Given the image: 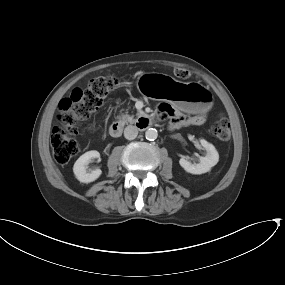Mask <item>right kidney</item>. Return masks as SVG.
Masks as SVG:
<instances>
[{
    "instance_id": "obj_1",
    "label": "right kidney",
    "mask_w": 285,
    "mask_h": 285,
    "mask_svg": "<svg viewBox=\"0 0 285 285\" xmlns=\"http://www.w3.org/2000/svg\"><path fill=\"white\" fill-rule=\"evenodd\" d=\"M99 157H100V154L98 151L91 150V151L84 153L77 159V161L75 162L73 166V172L75 174V177L80 182L90 183L100 177V175L102 174V171L100 169H95L91 171L87 170L88 168L87 165L89 164V162L92 159L99 158Z\"/></svg>"
}]
</instances>
